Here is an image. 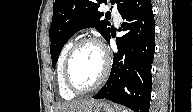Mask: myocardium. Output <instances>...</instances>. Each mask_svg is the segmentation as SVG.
Masks as SVG:
<instances>
[{"instance_id": "1", "label": "myocardium", "mask_w": 193, "mask_h": 112, "mask_svg": "<svg viewBox=\"0 0 193 112\" xmlns=\"http://www.w3.org/2000/svg\"><path fill=\"white\" fill-rule=\"evenodd\" d=\"M86 44H94L100 49L102 56H103V69H102V72L99 78L92 86L85 88V89H79L74 85V83L71 80L70 64L77 50ZM110 68H111V58H110L109 52L107 48L105 47V45L99 39L95 37H85V38H82L74 42V44L69 49L66 55L65 61H64V65H63V77H64L65 84L69 91L77 95L87 94V93H90L98 89L105 82V80L107 79L109 75Z\"/></svg>"}]
</instances>
